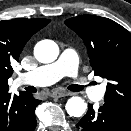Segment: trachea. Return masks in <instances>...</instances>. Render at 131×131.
<instances>
[{
  "label": "trachea",
  "instance_id": "3493384b",
  "mask_svg": "<svg viewBox=\"0 0 131 131\" xmlns=\"http://www.w3.org/2000/svg\"><path fill=\"white\" fill-rule=\"evenodd\" d=\"M68 89L71 90V91H76V92H78V91H81V90H82V86H79V85H70V86L68 87Z\"/></svg>",
  "mask_w": 131,
  "mask_h": 131
}]
</instances>
